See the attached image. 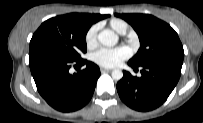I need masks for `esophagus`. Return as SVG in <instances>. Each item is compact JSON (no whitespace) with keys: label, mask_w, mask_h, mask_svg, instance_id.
Here are the masks:
<instances>
[{"label":"esophagus","mask_w":203,"mask_h":123,"mask_svg":"<svg viewBox=\"0 0 203 123\" xmlns=\"http://www.w3.org/2000/svg\"><path fill=\"white\" fill-rule=\"evenodd\" d=\"M100 70H101L102 73L112 71V69H107V68H101Z\"/></svg>","instance_id":"34e87169"}]
</instances>
